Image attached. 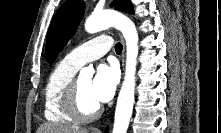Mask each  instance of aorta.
<instances>
[{
  "instance_id": "aorta-1",
  "label": "aorta",
  "mask_w": 221,
  "mask_h": 133,
  "mask_svg": "<svg viewBox=\"0 0 221 133\" xmlns=\"http://www.w3.org/2000/svg\"><path fill=\"white\" fill-rule=\"evenodd\" d=\"M109 27L120 30L126 41L125 76L117 99L112 133H127L134 104L135 74L139 50L138 33L134 23L128 17L111 10L94 13L85 22V30L88 33H96ZM93 73L92 68L81 70L82 75L92 76Z\"/></svg>"
}]
</instances>
